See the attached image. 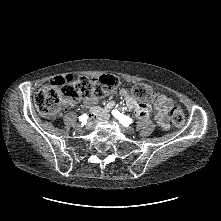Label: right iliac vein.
Instances as JSON below:
<instances>
[{
    "instance_id": "63e3f726",
    "label": "right iliac vein",
    "mask_w": 221,
    "mask_h": 221,
    "mask_svg": "<svg viewBox=\"0 0 221 221\" xmlns=\"http://www.w3.org/2000/svg\"><path fill=\"white\" fill-rule=\"evenodd\" d=\"M74 128L76 130L80 131L82 127H81V125L79 123H77V124L74 125Z\"/></svg>"
}]
</instances>
